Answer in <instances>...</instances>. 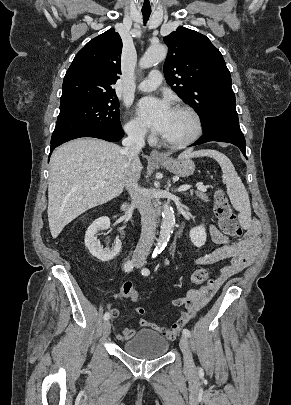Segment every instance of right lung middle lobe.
<instances>
[{"instance_id":"right-lung-middle-lobe-1","label":"right lung middle lobe","mask_w":291,"mask_h":405,"mask_svg":"<svg viewBox=\"0 0 291 405\" xmlns=\"http://www.w3.org/2000/svg\"><path fill=\"white\" fill-rule=\"evenodd\" d=\"M113 96L61 101L60 113L51 143L67 136L88 132H114L122 129L119 102Z\"/></svg>"}]
</instances>
